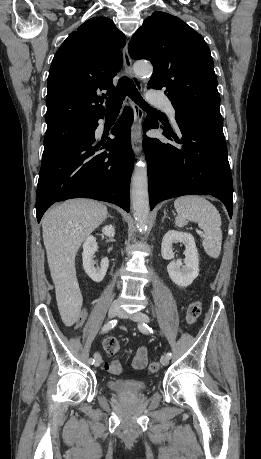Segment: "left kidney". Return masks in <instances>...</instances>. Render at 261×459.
Segmentation results:
<instances>
[{
  "label": "left kidney",
  "instance_id": "5707ae66",
  "mask_svg": "<svg viewBox=\"0 0 261 459\" xmlns=\"http://www.w3.org/2000/svg\"><path fill=\"white\" fill-rule=\"evenodd\" d=\"M182 243L186 249L184 251V265L180 260H173V244ZM161 254L165 260H172L167 271L171 280L178 286L187 287L192 284L199 274V255L196 248L194 237L187 232L168 231L162 240Z\"/></svg>",
  "mask_w": 261,
  "mask_h": 459
}]
</instances>
